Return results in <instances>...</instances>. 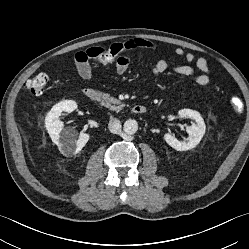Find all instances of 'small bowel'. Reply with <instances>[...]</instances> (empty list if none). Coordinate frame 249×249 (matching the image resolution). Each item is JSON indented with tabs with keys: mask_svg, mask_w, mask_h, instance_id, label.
<instances>
[{
	"mask_svg": "<svg viewBox=\"0 0 249 249\" xmlns=\"http://www.w3.org/2000/svg\"><path fill=\"white\" fill-rule=\"evenodd\" d=\"M131 43H134L138 46L145 47L150 50H157V47L149 42L144 40H137L133 41ZM92 49H100V48H92ZM92 49H89L85 52H79L75 56V64L78 71V74L83 79H90L92 77V67L89 62L88 54L89 51ZM175 54L177 56L183 57L187 64L178 65L173 68V72L181 75V76H194L195 82L199 86H206L209 83V75H210V69L208 66V63L205 58L203 57H196L191 52H186L183 48L178 47L175 49ZM132 62V59L127 54L120 55L115 62V69L118 74L125 73ZM191 63H194L195 65H190ZM170 65L166 60H159L155 63L153 66V73L158 75L166 72L169 70Z\"/></svg>",
	"mask_w": 249,
	"mask_h": 249,
	"instance_id": "obj_1",
	"label": "small bowel"
}]
</instances>
